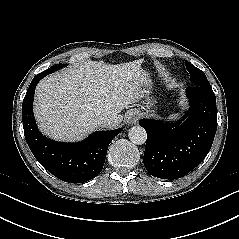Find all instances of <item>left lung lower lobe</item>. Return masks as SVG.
Wrapping results in <instances>:
<instances>
[{"instance_id": "1", "label": "left lung lower lobe", "mask_w": 239, "mask_h": 239, "mask_svg": "<svg viewBox=\"0 0 239 239\" xmlns=\"http://www.w3.org/2000/svg\"><path fill=\"white\" fill-rule=\"evenodd\" d=\"M190 110L183 122L144 119L147 132L143 157L146 170L162 179H178L198 166L209 152L217 129L216 97L212 87L186 90Z\"/></svg>"}]
</instances>
